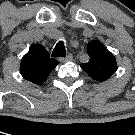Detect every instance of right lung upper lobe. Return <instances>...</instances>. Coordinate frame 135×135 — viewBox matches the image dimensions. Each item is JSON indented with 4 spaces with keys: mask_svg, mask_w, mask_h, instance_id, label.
<instances>
[{
    "mask_svg": "<svg viewBox=\"0 0 135 135\" xmlns=\"http://www.w3.org/2000/svg\"><path fill=\"white\" fill-rule=\"evenodd\" d=\"M58 61L50 58L49 53L40 44H34L22 58L20 72L24 79L42 84L49 73L56 67Z\"/></svg>",
    "mask_w": 135,
    "mask_h": 135,
    "instance_id": "cb5924a9",
    "label": "right lung upper lobe"
}]
</instances>
